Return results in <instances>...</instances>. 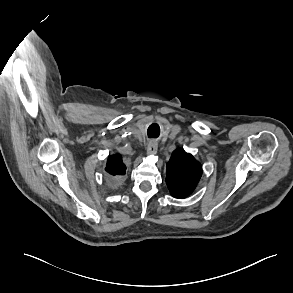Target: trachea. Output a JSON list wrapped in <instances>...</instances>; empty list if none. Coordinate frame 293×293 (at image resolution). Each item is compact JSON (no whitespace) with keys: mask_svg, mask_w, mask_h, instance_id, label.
Here are the masks:
<instances>
[{"mask_svg":"<svg viewBox=\"0 0 293 293\" xmlns=\"http://www.w3.org/2000/svg\"><path fill=\"white\" fill-rule=\"evenodd\" d=\"M149 135V134H148ZM149 137H155V136H151V135H149Z\"/></svg>","mask_w":293,"mask_h":293,"instance_id":"obj_1","label":"trachea"}]
</instances>
